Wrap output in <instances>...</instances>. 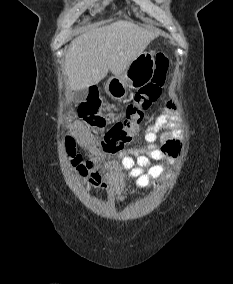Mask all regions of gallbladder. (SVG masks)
Returning a JSON list of instances; mask_svg holds the SVG:
<instances>
[{"label":"gallbladder","instance_id":"obj_1","mask_svg":"<svg viewBox=\"0 0 233 284\" xmlns=\"http://www.w3.org/2000/svg\"><path fill=\"white\" fill-rule=\"evenodd\" d=\"M87 95H88V91L86 89L76 91L74 95V101L77 103L85 101Z\"/></svg>","mask_w":233,"mask_h":284}]
</instances>
